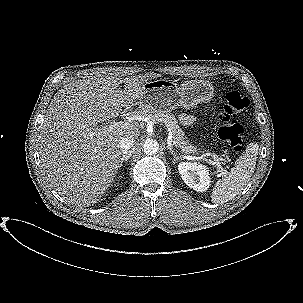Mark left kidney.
<instances>
[{
  "label": "left kidney",
  "instance_id": "obj_1",
  "mask_svg": "<svg viewBox=\"0 0 303 303\" xmlns=\"http://www.w3.org/2000/svg\"><path fill=\"white\" fill-rule=\"evenodd\" d=\"M178 170L183 181L193 190L204 192L209 187L210 177L205 166L182 162L179 163Z\"/></svg>",
  "mask_w": 303,
  "mask_h": 303
}]
</instances>
